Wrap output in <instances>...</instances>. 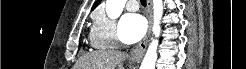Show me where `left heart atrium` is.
Masks as SVG:
<instances>
[{
    "label": "left heart atrium",
    "mask_w": 246,
    "mask_h": 69,
    "mask_svg": "<svg viewBox=\"0 0 246 69\" xmlns=\"http://www.w3.org/2000/svg\"><path fill=\"white\" fill-rule=\"evenodd\" d=\"M146 29L143 16L127 13L122 16L119 26V38L124 44H133L142 39Z\"/></svg>",
    "instance_id": "39dd6f15"
}]
</instances>
